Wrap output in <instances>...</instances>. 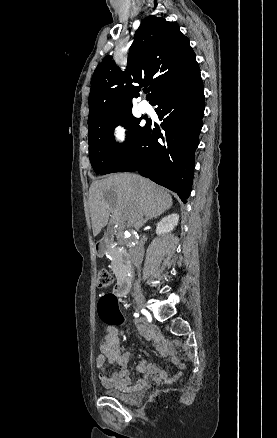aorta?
Instances as JSON below:
<instances>
[{
  "label": "aorta",
  "instance_id": "762f6f07",
  "mask_svg": "<svg viewBox=\"0 0 277 438\" xmlns=\"http://www.w3.org/2000/svg\"><path fill=\"white\" fill-rule=\"evenodd\" d=\"M138 234L135 232V231H131V230H129V231H126L125 233H124V236H123V238H122V244L123 245H129V244H131L132 242H135V241H137L138 240Z\"/></svg>",
  "mask_w": 277,
  "mask_h": 438
}]
</instances>
